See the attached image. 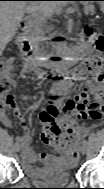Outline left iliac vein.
<instances>
[{
	"label": "left iliac vein",
	"mask_w": 104,
	"mask_h": 189,
	"mask_svg": "<svg viewBox=\"0 0 104 189\" xmlns=\"http://www.w3.org/2000/svg\"><path fill=\"white\" fill-rule=\"evenodd\" d=\"M80 153H81L82 155H86L87 149H86V148H81Z\"/></svg>",
	"instance_id": "1"
}]
</instances>
